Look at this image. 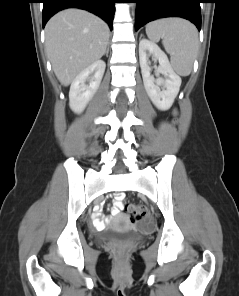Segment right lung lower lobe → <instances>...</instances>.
<instances>
[{"instance_id":"obj_1","label":"right lung lower lobe","mask_w":239,"mask_h":296,"mask_svg":"<svg viewBox=\"0 0 239 296\" xmlns=\"http://www.w3.org/2000/svg\"><path fill=\"white\" fill-rule=\"evenodd\" d=\"M43 5V27L47 21L58 11L65 8L77 7L90 11L101 17L113 29V18L118 0H42Z\"/></svg>"}]
</instances>
